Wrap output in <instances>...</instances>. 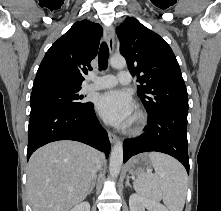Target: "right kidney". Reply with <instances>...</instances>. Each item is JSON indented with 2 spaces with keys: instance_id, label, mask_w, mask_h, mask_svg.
<instances>
[{
  "instance_id": "right-kidney-1",
  "label": "right kidney",
  "mask_w": 221,
  "mask_h": 211,
  "mask_svg": "<svg viewBox=\"0 0 221 211\" xmlns=\"http://www.w3.org/2000/svg\"><path fill=\"white\" fill-rule=\"evenodd\" d=\"M70 211H90V204L88 202H82L76 205Z\"/></svg>"
}]
</instances>
